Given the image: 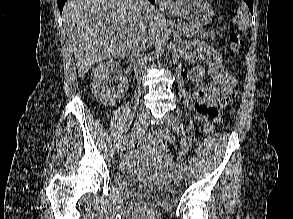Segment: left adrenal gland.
I'll return each instance as SVG.
<instances>
[{"instance_id":"1","label":"left adrenal gland","mask_w":293,"mask_h":219,"mask_svg":"<svg viewBox=\"0 0 293 219\" xmlns=\"http://www.w3.org/2000/svg\"><path fill=\"white\" fill-rule=\"evenodd\" d=\"M173 37L174 39L180 38V34L175 29H173Z\"/></svg>"}]
</instances>
